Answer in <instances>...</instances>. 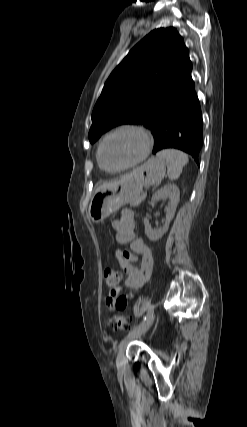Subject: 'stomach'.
<instances>
[{
	"label": "stomach",
	"mask_w": 247,
	"mask_h": 427,
	"mask_svg": "<svg viewBox=\"0 0 247 427\" xmlns=\"http://www.w3.org/2000/svg\"><path fill=\"white\" fill-rule=\"evenodd\" d=\"M165 172V161L152 157L116 185L98 190L89 204L90 219L94 223L102 222L123 205L140 196L144 186L161 181Z\"/></svg>",
	"instance_id": "stomach-1"
}]
</instances>
